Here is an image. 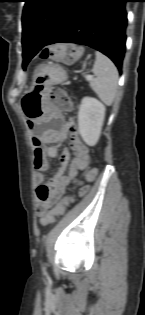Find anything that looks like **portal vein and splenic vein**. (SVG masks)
<instances>
[{
  "instance_id": "portal-vein-and-splenic-vein-1",
  "label": "portal vein and splenic vein",
  "mask_w": 145,
  "mask_h": 315,
  "mask_svg": "<svg viewBox=\"0 0 145 315\" xmlns=\"http://www.w3.org/2000/svg\"><path fill=\"white\" fill-rule=\"evenodd\" d=\"M93 78H94L93 75H87V76H86V80H87V81H90V80H92Z\"/></svg>"
}]
</instances>
